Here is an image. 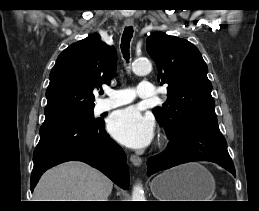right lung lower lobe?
<instances>
[{
	"mask_svg": "<svg viewBox=\"0 0 259 211\" xmlns=\"http://www.w3.org/2000/svg\"><path fill=\"white\" fill-rule=\"evenodd\" d=\"M104 128L103 121L94 124L70 121L43 124L40 141L33 154L31 191L43 172L70 160L86 162L123 189H128L130 181L125 153Z\"/></svg>",
	"mask_w": 259,
	"mask_h": 211,
	"instance_id": "obj_1",
	"label": "right lung lower lobe"
}]
</instances>
